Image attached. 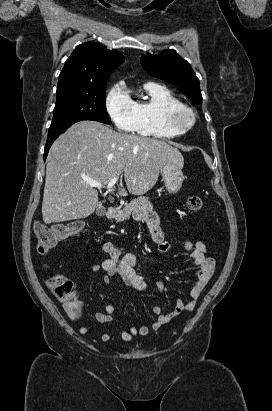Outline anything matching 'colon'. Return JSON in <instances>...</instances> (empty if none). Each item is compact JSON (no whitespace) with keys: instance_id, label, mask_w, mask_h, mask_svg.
Instances as JSON below:
<instances>
[{"instance_id":"obj_1","label":"colon","mask_w":272,"mask_h":411,"mask_svg":"<svg viewBox=\"0 0 272 411\" xmlns=\"http://www.w3.org/2000/svg\"><path fill=\"white\" fill-rule=\"evenodd\" d=\"M203 201L199 196H190L187 200V208L190 211H198L202 208ZM84 228L81 221L65 224L46 225L42 222L34 224V234L40 253L44 254L54 247L60 240L80 232ZM54 295L64 303L69 315L73 318L79 316V302L73 281L61 273H52L47 280Z\"/></svg>"}]
</instances>
